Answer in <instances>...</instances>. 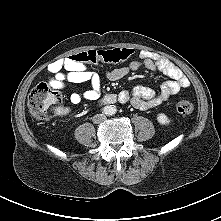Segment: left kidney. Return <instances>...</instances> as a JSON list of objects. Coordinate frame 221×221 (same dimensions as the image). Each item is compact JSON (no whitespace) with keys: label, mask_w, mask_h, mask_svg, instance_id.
Wrapping results in <instances>:
<instances>
[{"label":"left kidney","mask_w":221,"mask_h":221,"mask_svg":"<svg viewBox=\"0 0 221 221\" xmlns=\"http://www.w3.org/2000/svg\"><path fill=\"white\" fill-rule=\"evenodd\" d=\"M157 121L161 124V125H168L170 123V119L167 117V115H165L164 113H159L157 115Z\"/></svg>","instance_id":"obj_1"}]
</instances>
